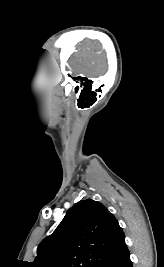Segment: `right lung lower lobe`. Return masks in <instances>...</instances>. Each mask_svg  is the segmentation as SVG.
Here are the masks:
<instances>
[{
    "label": "right lung lower lobe",
    "mask_w": 164,
    "mask_h": 267,
    "mask_svg": "<svg viewBox=\"0 0 164 267\" xmlns=\"http://www.w3.org/2000/svg\"><path fill=\"white\" fill-rule=\"evenodd\" d=\"M99 267H132L127 246L108 257Z\"/></svg>",
    "instance_id": "right-lung-lower-lobe-1"
}]
</instances>
